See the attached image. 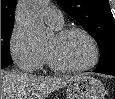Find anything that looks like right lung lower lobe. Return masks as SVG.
I'll list each match as a JSON object with an SVG mask.
<instances>
[{"mask_svg": "<svg viewBox=\"0 0 115 99\" xmlns=\"http://www.w3.org/2000/svg\"><path fill=\"white\" fill-rule=\"evenodd\" d=\"M7 66V64H1V69L6 68Z\"/></svg>", "mask_w": 115, "mask_h": 99, "instance_id": "right-lung-lower-lobe-1", "label": "right lung lower lobe"}]
</instances>
